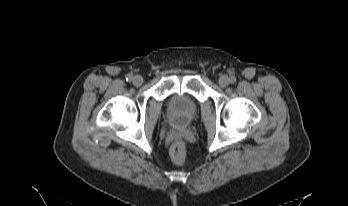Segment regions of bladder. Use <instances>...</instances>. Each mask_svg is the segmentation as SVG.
Segmentation results:
<instances>
[{
  "label": "bladder",
  "instance_id": "obj_1",
  "mask_svg": "<svg viewBox=\"0 0 348 206\" xmlns=\"http://www.w3.org/2000/svg\"><path fill=\"white\" fill-rule=\"evenodd\" d=\"M170 119L178 125H186L192 121L198 111L197 102L185 93H175L168 101Z\"/></svg>",
  "mask_w": 348,
  "mask_h": 206
}]
</instances>
